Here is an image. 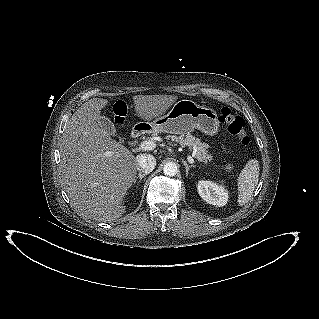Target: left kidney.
<instances>
[{"instance_id": "5707ae66", "label": "left kidney", "mask_w": 319, "mask_h": 319, "mask_svg": "<svg viewBox=\"0 0 319 319\" xmlns=\"http://www.w3.org/2000/svg\"><path fill=\"white\" fill-rule=\"evenodd\" d=\"M198 193L207 203L217 206H224L228 200V193L222 185H217L212 181H199Z\"/></svg>"}]
</instances>
